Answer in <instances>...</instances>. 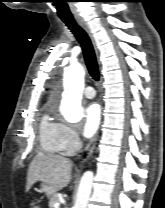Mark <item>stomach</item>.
Instances as JSON below:
<instances>
[{
    "label": "stomach",
    "instance_id": "1",
    "mask_svg": "<svg viewBox=\"0 0 165 208\" xmlns=\"http://www.w3.org/2000/svg\"><path fill=\"white\" fill-rule=\"evenodd\" d=\"M41 191L45 193L47 197H52L56 193V189L52 187L51 185H48L46 183L41 184Z\"/></svg>",
    "mask_w": 165,
    "mask_h": 208
}]
</instances>
